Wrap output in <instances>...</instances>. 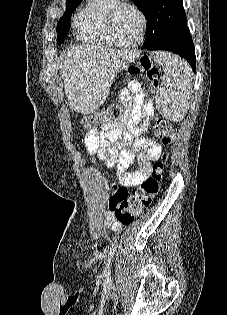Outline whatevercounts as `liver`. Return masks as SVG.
I'll return each instance as SVG.
<instances>
[{"mask_svg":"<svg viewBox=\"0 0 227 315\" xmlns=\"http://www.w3.org/2000/svg\"><path fill=\"white\" fill-rule=\"evenodd\" d=\"M134 57L127 51L101 46L72 47L60 65L71 109L83 115L98 110L115 77Z\"/></svg>","mask_w":227,"mask_h":315,"instance_id":"liver-1","label":"liver"}]
</instances>
